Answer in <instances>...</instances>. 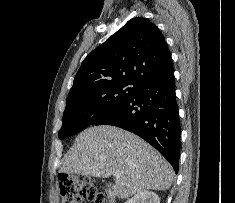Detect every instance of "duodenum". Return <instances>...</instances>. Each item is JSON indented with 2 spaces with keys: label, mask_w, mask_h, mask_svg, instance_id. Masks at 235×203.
Returning <instances> with one entry per match:
<instances>
[{
  "label": "duodenum",
  "mask_w": 235,
  "mask_h": 203,
  "mask_svg": "<svg viewBox=\"0 0 235 203\" xmlns=\"http://www.w3.org/2000/svg\"><path fill=\"white\" fill-rule=\"evenodd\" d=\"M106 196H107V202L108 203H115L114 194L110 190L106 191Z\"/></svg>",
  "instance_id": "obj_1"
}]
</instances>
